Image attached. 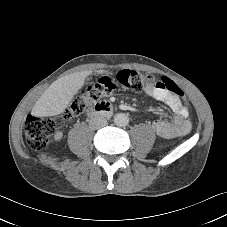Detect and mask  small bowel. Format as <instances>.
<instances>
[{
    "label": "small bowel",
    "instance_id": "c3829d8e",
    "mask_svg": "<svg viewBox=\"0 0 227 227\" xmlns=\"http://www.w3.org/2000/svg\"><path fill=\"white\" fill-rule=\"evenodd\" d=\"M145 92L153 99L165 103L174 113L172 121L157 119L153 122L152 127L158 136L172 139L190 131L189 111L178 95L166 89V85L161 82H156L155 87L146 88ZM55 138L61 139L62 133L58 132Z\"/></svg>",
    "mask_w": 227,
    "mask_h": 227
}]
</instances>
